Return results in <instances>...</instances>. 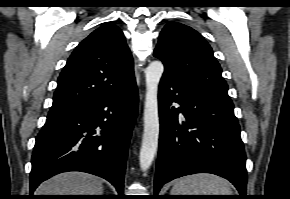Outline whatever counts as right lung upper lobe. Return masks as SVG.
Returning <instances> with one entry per match:
<instances>
[{"label": "right lung upper lobe", "mask_w": 290, "mask_h": 199, "mask_svg": "<svg viewBox=\"0 0 290 199\" xmlns=\"http://www.w3.org/2000/svg\"><path fill=\"white\" fill-rule=\"evenodd\" d=\"M134 80L133 59L124 34L113 24L102 25L69 57L49 113L123 92Z\"/></svg>", "instance_id": "right-lung-upper-lobe-1"}]
</instances>
